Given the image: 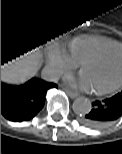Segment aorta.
Instances as JSON below:
<instances>
[{
    "mask_svg": "<svg viewBox=\"0 0 122 154\" xmlns=\"http://www.w3.org/2000/svg\"><path fill=\"white\" fill-rule=\"evenodd\" d=\"M72 108L75 114L86 115L91 111L92 105L88 98L78 97L74 100Z\"/></svg>",
    "mask_w": 122,
    "mask_h": 154,
    "instance_id": "762f6f07",
    "label": "aorta"
}]
</instances>
